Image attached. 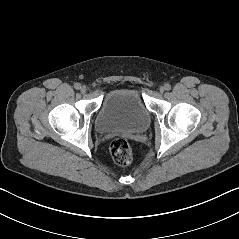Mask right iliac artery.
Returning a JSON list of instances; mask_svg holds the SVG:
<instances>
[{
  "label": "right iliac artery",
  "instance_id": "obj_1",
  "mask_svg": "<svg viewBox=\"0 0 239 239\" xmlns=\"http://www.w3.org/2000/svg\"><path fill=\"white\" fill-rule=\"evenodd\" d=\"M74 88L79 90L81 88V84L80 83H75Z\"/></svg>",
  "mask_w": 239,
  "mask_h": 239
}]
</instances>
